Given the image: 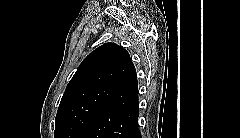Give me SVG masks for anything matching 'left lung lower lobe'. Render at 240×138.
<instances>
[{"instance_id":"obj_1","label":"left lung lower lobe","mask_w":240,"mask_h":138,"mask_svg":"<svg viewBox=\"0 0 240 138\" xmlns=\"http://www.w3.org/2000/svg\"><path fill=\"white\" fill-rule=\"evenodd\" d=\"M138 116V84L133 65L83 138H141Z\"/></svg>"}]
</instances>
